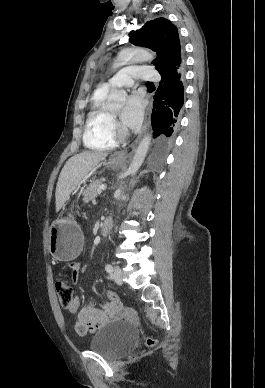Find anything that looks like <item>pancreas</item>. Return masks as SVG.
Returning a JSON list of instances; mask_svg holds the SVG:
<instances>
[{"mask_svg": "<svg viewBox=\"0 0 265 388\" xmlns=\"http://www.w3.org/2000/svg\"><path fill=\"white\" fill-rule=\"evenodd\" d=\"M99 186H102L101 180H94L91 182L90 186L84 190V202H89V200H95L101 190Z\"/></svg>", "mask_w": 265, "mask_h": 388, "instance_id": "pancreas-1", "label": "pancreas"}]
</instances>
